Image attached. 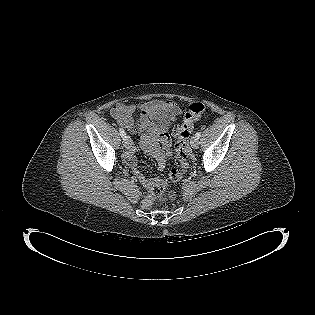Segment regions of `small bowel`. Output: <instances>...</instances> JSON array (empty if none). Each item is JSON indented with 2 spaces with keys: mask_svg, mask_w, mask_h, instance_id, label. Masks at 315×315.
<instances>
[{
  "mask_svg": "<svg viewBox=\"0 0 315 315\" xmlns=\"http://www.w3.org/2000/svg\"><path fill=\"white\" fill-rule=\"evenodd\" d=\"M137 112L140 113V116L135 121L134 115ZM158 113H164L169 121H174L182 114V109L174 100H153L139 104L121 102L113 106L110 111L111 116L119 125L140 134V146L142 150L146 154L153 156L157 160L159 168L164 170L167 158L170 155L172 134L164 126L150 125L149 118ZM175 133L177 131L173 130V134ZM125 162L145 189H149L150 185L158 180V178H147L137 169L134 148H131L125 155Z\"/></svg>",
  "mask_w": 315,
  "mask_h": 315,
  "instance_id": "1",
  "label": "small bowel"
}]
</instances>
